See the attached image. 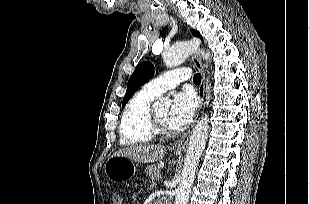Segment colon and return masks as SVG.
<instances>
[{"label":"colon","mask_w":309,"mask_h":204,"mask_svg":"<svg viewBox=\"0 0 309 204\" xmlns=\"http://www.w3.org/2000/svg\"><path fill=\"white\" fill-rule=\"evenodd\" d=\"M111 199H112V204H121L122 202L121 194L118 192H114L111 196Z\"/></svg>","instance_id":"5ec220e1"}]
</instances>
